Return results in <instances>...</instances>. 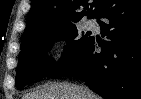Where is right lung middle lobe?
<instances>
[{
	"label": "right lung middle lobe",
	"mask_w": 141,
	"mask_h": 99,
	"mask_svg": "<svg viewBox=\"0 0 141 99\" xmlns=\"http://www.w3.org/2000/svg\"><path fill=\"white\" fill-rule=\"evenodd\" d=\"M77 36V28L73 25L21 45L16 73V87L20 89L34 79L56 75L68 66L91 39L87 36L77 39ZM58 39L67 40L68 44L62 59L59 63H55L53 59L47 56V51Z\"/></svg>",
	"instance_id": "1"
}]
</instances>
